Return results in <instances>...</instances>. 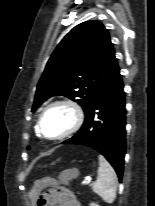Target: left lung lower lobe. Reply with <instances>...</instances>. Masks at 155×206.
<instances>
[{"label":"left lung lower lobe","instance_id":"obj_1","mask_svg":"<svg viewBox=\"0 0 155 206\" xmlns=\"http://www.w3.org/2000/svg\"><path fill=\"white\" fill-rule=\"evenodd\" d=\"M118 68L85 111V121L72 138L63 144L92 147L100 152L122 180L126 149L125 97Z\"/></svg>","mask_w":155,"mask_h":206}]
</instances>
